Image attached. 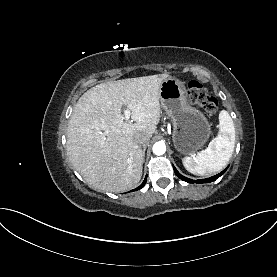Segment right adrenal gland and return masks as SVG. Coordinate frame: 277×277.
<instances>
[{"instance_id":"obj_1","label":"right adrenal gland","mask_w":277,"mask_h":277,"mask_svg":"<svg viewBox=\"0 0 277 277\" xmlns=\"http://www.w3.org/2000/svg\"><path fill=\"white\" fill-rule=\"evenodd\" d=\"M145 150H146V148H144L143 151H142V154H143V162H144V158H145Z\"/></svg>"}]
</instances>
